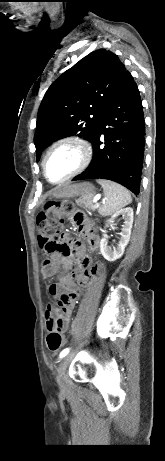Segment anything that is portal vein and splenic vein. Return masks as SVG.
<instances>
[{"label": "portal vein and splenic vein", "mask_w": 165, "mask_h": 461, "mask_svg": "<svg viewBox=\"0 0 165 461\" xmlns=\"http://www.w3.org/2000/svg\"><path fill=\"white\" fill-rule=\"evenodd\" d=\"M99 199H100L99 196H95V197H94V200H93V202L95 203V205H96L97 207H99V203L97 202Z\"/></svg>", "instance_id": "1"}]
</instances>
